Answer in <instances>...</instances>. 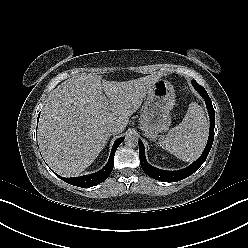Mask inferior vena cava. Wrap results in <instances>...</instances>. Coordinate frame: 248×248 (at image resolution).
Returning a JSON list of instances; mask_svg holds the SVG:
<instances>
[{"mask_svg":"<svg viewBox=\"0 0 248 248\" xmlns=\"http://www.w3.org/2000/svg\"><path fill=\"white\" fill-rule=\"evenodd\" d=\"M121 132V128H119L117 125L109 124L107 125V133L109 136L116 135Z\"/></svg>","mask_w":248,"mask_h":248,"instance_id":"1","label":"inferior vena cava"}]
</instances>
